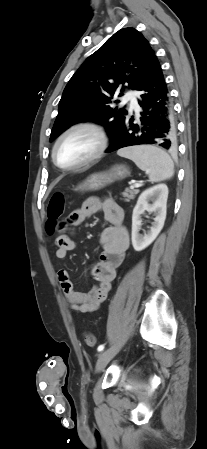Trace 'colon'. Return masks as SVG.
<instances>
[{
	"label": "colon",
	"mask_w": 207,
	"mask_h": 449,
	"mask_svg": "<svg viewBox=\"0 0 207 449\" xmlns=\"http://www.w3.org/2000/svg\"><path fill=\"white\" fill-rule=\"evenodd\" d=\"M64 195L57 192L52 195L47 206L48 223L46 229L48 233L53 234L58 228V222L64 212ZM84 341L87 346L94 347L96 338L92 333H84Z\"/></svg>",
	"instance_id": "1"
}]
</instances>
